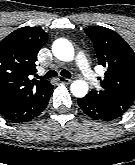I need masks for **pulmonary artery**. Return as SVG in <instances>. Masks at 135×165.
I'll list each match as a JSON object with an SVG mask.
<instances>
[{
	"instance_id": "obj_1",
	"label": "pulmonary artery",
	"mask_w": 135,
	"mask_h": 165,
	"mask_svg": "<svg viewBox=\"0 0 135 165\" xmlns=\"http://www.w3.org/2000/svg\"><path fill=\"white\" fill-rule=\"evenodd\" d=\"M74 63L85 80H87L88 82L95 81V77L90 69L88 60L84 52L79 51L76 53Z\"/></svg>"
}]
</instances>
